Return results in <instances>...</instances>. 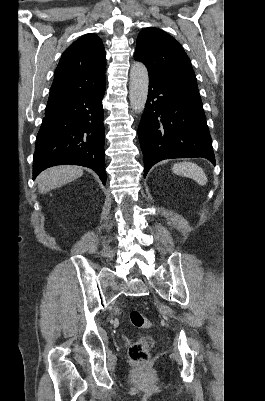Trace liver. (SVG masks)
I'll list each match as a JSON object with an SVG mask.
<instances>
[{"instance_id": "1", "label": "liver", "mask_w": 265, "mask_h": 401, "mask_svg": "<svg viewBox=\"0 0 265 401\" xmlns=\"http://www.w3.org/2000/svg\"><path fill=\"white\" fill-rule=\"evenodd\" d=\"M82 174V166H70V164L52 166L37 176L38 190L40 194H45L52 188H57V186L71 182L74 178H79Z\"/></svg>"}]
</instances>
